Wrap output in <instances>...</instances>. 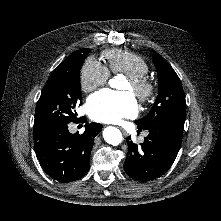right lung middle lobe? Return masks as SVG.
<instances>
[{
  "label": "right lung middle lobe",
  "instance_id": "right-lung-middle-lobe-1",
  "mask_svg": "<svg viewBox=\"0 0 221 221\" xmlns=\"http://www.w3.org/2000/svg\"><path fill=\"white\" fill-rule=\"evenodd\" d=\"M90 51L88 48L76 51L52 71L36 106L34 136L79 119L75 108L82 99L80 69Z\"/></svg>",
  "mask_w": 221,
  "mask_h": 221
}]
</instances>
